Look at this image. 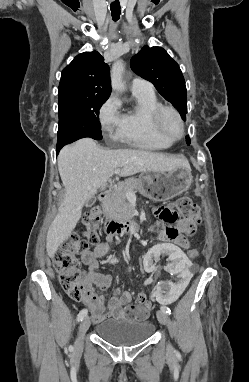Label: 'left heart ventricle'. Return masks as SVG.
I'll list each match as a JSON object with an SVG mask.
<instances>
[{
	"mask_svg": "<svg viewBox=\"0 0 249 382\" xmlns=\"http://www.w3.org/2000/svg\"><path fill=\"white\" fill-rule=\"evenodd\" d=\"M165 126L171 134L177 135L179 133V123L176 118L170 114L165 117Z\"/></svg>",
	"mask_w": 249,
	"mask_h": 382,
	"instance_id": "b2bd125f",
	"label": "left heart ventricle"
}]
</instances>
